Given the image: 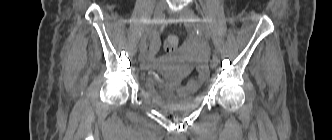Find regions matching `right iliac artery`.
I'll return each instance as SVG.
<instances>
[{"instance_id": "obj_1", "label": "right iliac artery", "mask_w": 332, "mask_h": 140, "mask_svg": "<svg viewBox=\"0 0 332 140\" xmlns=\"http://www.w3.org/2000/svg\"><path fill=\"white\" fill-rule=\"evenodd\" d=\"M155 23V20L152 19L149 21L147 28L145 29V34L148 33L149 29L152 27V25Z\"/></svg>"}]
</instances>
